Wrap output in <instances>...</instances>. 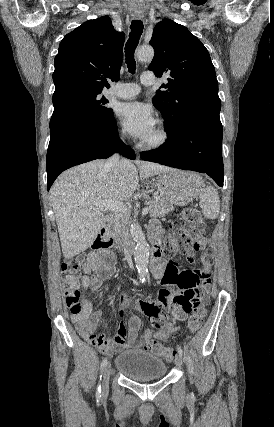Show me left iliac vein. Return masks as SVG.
Listing matches in <instances>:
<instances>
[{
    "label": "left iliac vein",
    "mask_w": 274,
    "mask_h": 427,
    "mask_svg": "<svg viewBox=\"0 0 274 427\" xmlns=\"http://www.w3.org/2000/svg\"><path fill=\"white\" fill-rule=\"evenodd\" d=\"M175 366L180 369L182 367V356L178 353L175 357Z\"/></svg>",
    "instance_id": "left-iliac-vein-1"
}]
</instances>
